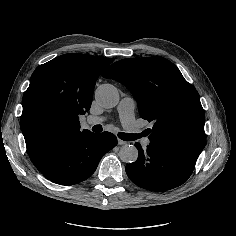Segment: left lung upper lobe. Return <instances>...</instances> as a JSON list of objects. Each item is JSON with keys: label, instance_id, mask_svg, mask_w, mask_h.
Instances as JSON below:
<instances>
[{"label": "left lung upper lobe", "instance_id": "1", "mask_svg": "<svg viewBox=\"0 0 236 236\" xmlns=\"http://www.w3.org/2000/svg\"><path fill=\"white\" fill-rule=\"evenodd\" d=\"M125 85L137 101L140 116L153 122L144 132L153 142L198 158L205 147V114L197 90L179 69L161 56L127 58L103 74Z\"/></svg>", "mask_w": 236, "mask_h": 236}]
</instances>
